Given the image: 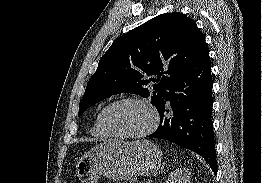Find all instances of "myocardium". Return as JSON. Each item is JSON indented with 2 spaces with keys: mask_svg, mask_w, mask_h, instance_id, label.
<instances>
[{
  "mask_svg": "<svg viewBox=\"0 0 262 183\" xmlns=\"http://www.w3.org/2000/svg\"><path fill=\"white\" fill-rule=\"evenodd\" d=\"M125 103H137L145 106L146 108L149 109V111L152 114V123L151 125L144 131L139 132V133H133V134H118L109 129L105 122V116L106 113L113 107L125 104ZM160 123V116L158 113V110L156 107L149 101L143 98H138V97H125L116 101H113L106 105L100 112L99 115V124L103 132L111 138L115 139H141L144 137H147L148 135L152 134L159 126Z\"/></svg>",
  "mask_w": 262,
  "mask_h": 183,
  "instance_id": "myocardium-1",
  "label": "myocardium"
}]
</instances>
